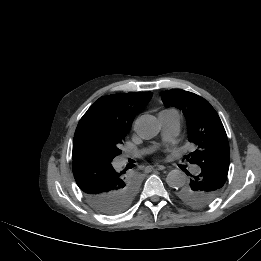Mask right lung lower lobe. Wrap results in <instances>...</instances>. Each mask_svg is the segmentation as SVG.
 <instances>
[{"mask_svg": "<svg viewBox=\"0 0 261 261\" xmlns=\"http://www.w3.org/2000/svg\"><path fill=\"white\" fill-rule=\"evenodd\" d=\"M72 169L78 187L94 209L102 214L114 215L129 207L124 192L129 179L124 172L115 170L112 162L74 158Z\"/></svg>", "mask_w": 261, "mask_h": 261, "instance_id": "obj_1", "label": "right lung lower lobe"}]
</instances>
